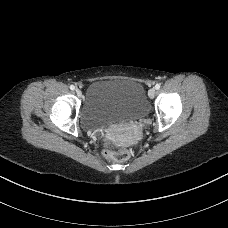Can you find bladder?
<instances>
[{
	"instance_id": "1",
	"label": "bladder",
	"mask_w": 228,
	"mask_h": 228,
	"mask_svg": "<svg viewBox=\"0 0 228 228\" xmlns=\"http://www.w3.org/2000/svg\"><path fill=\"white\" fill-rule=\"evenodd\" d=\"M148 109L141 83L129 79L98 80L86 90L80 119L88 130L106 129L116 123L142 119Z\"/></svg>"
}]
</instances>
